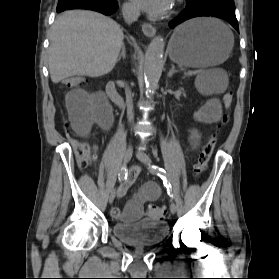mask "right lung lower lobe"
Wrapping results in <instances>:
<instances>
[{
  "label": "right lung lower lobe",
  "mask_w": 279,
  "mask_h": 279,
  "mask_svg": "<svg viewBox=\"0 0 279 279\" xmlns=\"http://www.w3.org/2000/svg\"><path fill=\"white\" fill-rule=\"evenodd\" d=\"M117 8L118 3L115 0H59L56 11L59 13L70 9H89L111 15Z\"/></svg>",
  "instance_id": "98d812e1"
}]
</instances>
